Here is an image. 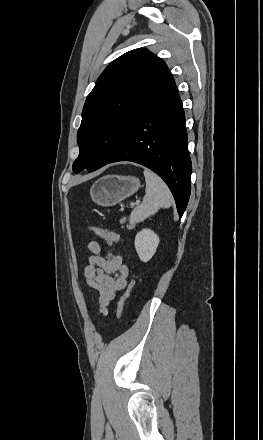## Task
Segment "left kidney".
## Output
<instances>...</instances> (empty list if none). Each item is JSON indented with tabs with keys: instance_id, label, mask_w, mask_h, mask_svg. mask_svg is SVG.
<instances>
[{
	"instance_id": "1",
	"label": "left kidney",
	"mask_w": 263,
	"mask_h": 440,
	"mask_svg": "<svg viewBox=\"0 0 263 440\" xmlns=\"http://www.w3.org/2000/svg\"><path fill=\"white\" fill-rule=\"evenodd\" d=\"M159 237L151 229H143L135 237V249L141 261L147 262L155 254Z\"/></svg>"
}]
</instances>
